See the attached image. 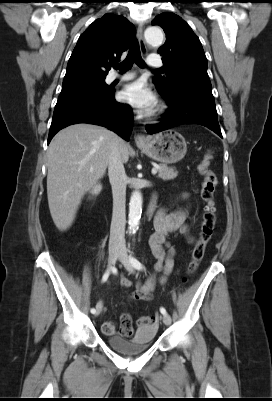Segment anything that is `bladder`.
Listing matches in <instances>:
<instances>
[{"label":"bladder","mask_w":272,"mask_h":401,"mask_svg":"<svg viewBox=\"0 0 272 401\" xmlns=\"http://www.w3.org/2000/svg\"><path fill=\"white\" fill-rule=\"evenodd\" d=\"M156 330L146 328L140 330L132 339H126L119 334L107 335V341L111 348L124 355H138L146 352L152 342Z\"/></svg>","instance_id":"31cf9c89"}]
</instances>
